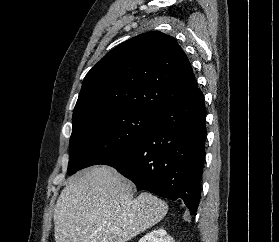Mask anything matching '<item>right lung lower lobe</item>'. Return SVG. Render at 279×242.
Listing matches in <instances>:
<instances>
[{"label":"right lung lower lobe","mask_w":279,"mask_h":242,"mask_svg":"<svg viewBox=\"0 0 279 242\" xmlns=\"http://www.w3.org/2000/svg\"><path fill=\"white\" fill-rule=\"evenodd\" d=\"M206 109L203 94L159 111L154 128L138 143L104 160L139 190L183 199L196 214L205 160Z\"/></svg>","instance_id":"right-lung-lower-lobe-1"}]
</instances>
